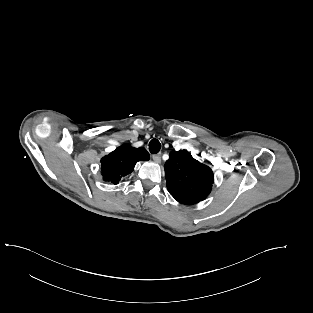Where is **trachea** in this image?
Listing matches in <instances>:
<instances>
[{
    "mask_svg": "<svg viewBox=\"0 0 313 313\" xmlns=\"http://www.w3.org/2000/svg\"><path fill=\"white\" fill-rule=\"evenodd\" d=\"M161 149V144L159 142V140L157 139H152L149 143V151L152 154H157Z\"/></svg>",
    "mask_w": 313,
    "mask_h": 313,
    "instance_id": "trachea-1",
    "label": "trachea"
}]
</instances>
